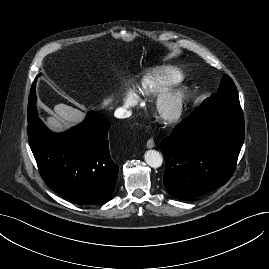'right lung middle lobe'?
Returning <instances> with one entry per match:
<instances>
[{
	"label": "right lung middle lobe",
	"instance_id": "1",
	"mask_svg": "<svg viewBox=\"0 0 269 269\" xmlns=\"http://www.w3.org/2000/svg\"><path fill=\"white\" fill-rule=\"evenodd\" d=\"M36 94H35V84L31 88V95L29 98V106H28V118H29V123H33L37 116V111H36Z\"/></svg>",
	"mask_w": 269,
	"mask_h": 269
}]
</instances>
